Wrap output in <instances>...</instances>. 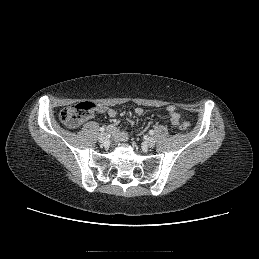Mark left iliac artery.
Here are the masks:
<instances>
[{
    "mask_svg": "<svg viewBox=\"0 0 259 259\" xmlns=\"http://www.w3.org/2000/svg\"><path fill=\"white\" fill-rule=\"evenodd\" d=\"M149 134H150V135H153V134H154V131H153V130H150V131H149Z\"/></svg>",
    "mask_w": 259,
    "mask_h": 259,
    "instance_id": "left-iliac-artery-1",
    "label": "left iliac artery"
}]
</instances>
